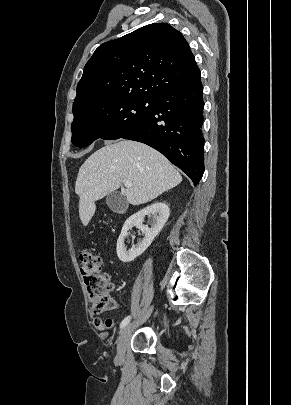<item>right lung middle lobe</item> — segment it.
Segmentation results:
<instances>
[{
    "instance_id": "1",
    "label": "right lung middle lobe",
    "mask_w": 291,
    "mask_h": 405,
    "mask_svg": "<svg viewBox=\"0 0 291 405\" xmlns=\"http://www.w3.org/2000/svg\"><path fill=\"white\" fill-rule=\"evenodd\" d=\"M153 108V99L127 96L87 105L74 113L72 143L79 148L97 139H119L140 126Z\"/></svg>"
}]
</instances>
